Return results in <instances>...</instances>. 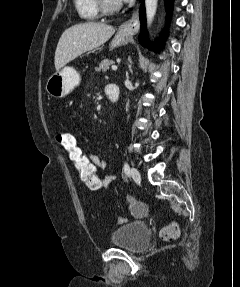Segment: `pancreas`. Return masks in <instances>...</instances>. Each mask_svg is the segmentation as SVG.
Listing matches in <instances>:
<instances>
[{
	"mask_svg": "<svg viewBox=\"0 0 240 287\" xmlns=\"http://www.w3.org/2000/svg\"><path fill=\"white\" fill-rule=\"evenodd\" d=\"M115 62L112 59H104L101 61L99 66L96 68L97 72H106L109 69V66L114 64Z\"/></svg>",
	"mask_w": 240,
	"mask_h": 287,
	"instance_id": "obj_1",
	"label": "pancreas"
}]
</instances>
